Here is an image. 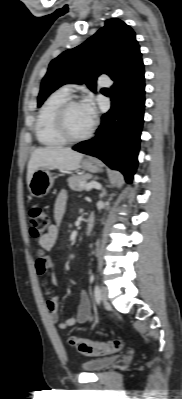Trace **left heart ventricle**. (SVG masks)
I'll list each match as a JSON object with an SVG mask.
<instances>
[{
  "mask_svg": "<svg viewBox=\"0 0 182 399\" xmlns=\"http://www.w3.org/2000/svg\"><path fill=\"white\" fill-rule=\"evenodd\" d=\"M92 119L84 110L82 104L73 105L67 113V125L73 136H81L90 128Z\"/></svg>",
  "mask_w": 182,
  "mask_h": 399,
  "instance_id": "b2bd125f",
  "label": "left heart ventricle"
}]
</instances>
